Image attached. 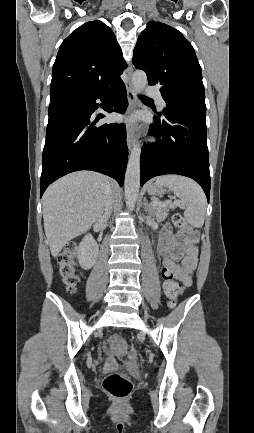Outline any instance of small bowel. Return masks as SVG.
Returning <instances> with one entry per match:
<instances>
[{
    "label": "small bowel",
    "instance_id": "obj_1",
    "mask_svg": "<svg viewBox=\"0 0 254 433\" xmlns=\"http://www.w3.org/2000/svg\"><path fill=\"white\" fill-rule=\"evenodd\" d=\"M159 252L163 260V271L170 270L174 279L181 282L183 288H188L192 284V274L197 265V248L190 245L186 248V255L183 258L182 264L176 263L183 256L184 246L180 239L173 234L171 227L166 225L163 227L159 238ZM166 283H163L165 292ZM134 352L132 351V355ZM109 365L114 364L113 359L108 360Z\"/></svg>",
    "mask_w": 254,
    "mask_h": 433
}]
</instances>
